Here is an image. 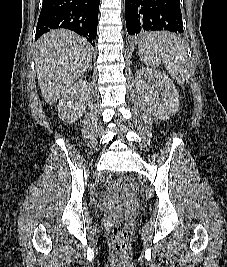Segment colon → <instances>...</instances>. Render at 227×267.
Listing matches in <instances>:
<instances>
[{"mask_svg":"<svg viewBox=\"0 0 227 267\" xmlns=\"http://www.w3.org/2000/svg\"><path fill=\"white\" fill-rule=\"evenodd\" d=\"M137 190L135 182L129 177H121L111 184V192L117 199L131 197ZM111 238L118 251H124L127 245L128 233L123 223H113L110 227Z\"/></svg>","mask_w":227,"mask_h":267,"instance_id":"5ec220e1","label":"colon"}]
</instances>
